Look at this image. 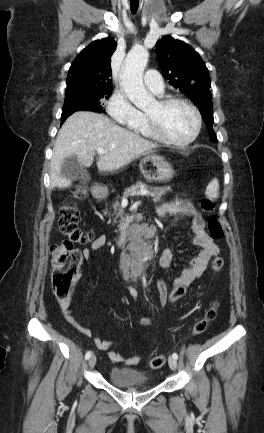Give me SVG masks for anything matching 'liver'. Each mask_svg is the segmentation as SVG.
<instances>
[{
    "mask_svg": "<svg viewBox=\"0 0 264 433\" xmlns=\"http://www.w3.org/2000/svg\"><path fill=\"white\" fill-rule=\"evenodd\" d=\"M138 134L113 123L107 116L89 111L71 115L58 132L50 162V187L66 188L70 180L60 176L62 161L75 155L84 167H90L98 148L105 150L97 160L99 171L112 172L133 159L157 148Z\"/></svg>",
    "mask_w": 264,
    "mask_h": 433,
    "instance_id": "obj_1",
    "label": "liver"
}]
</instances>
